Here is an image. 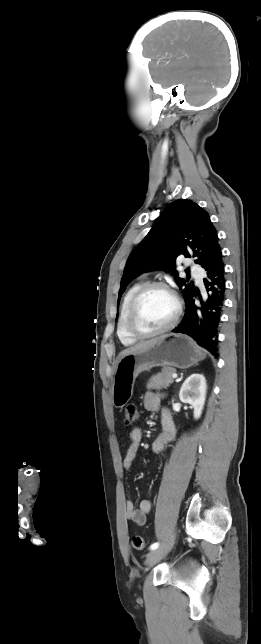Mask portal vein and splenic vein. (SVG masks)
I'll use <instances>...</instances> for the list:
<instances>
[{
	"label": "portal vein and splenic vein",
	"instance_id": "obj_1",
	"mask_svg": "<svg viewBox=\"0 0 261 644\" xmlns=\"http://www.w3.org/2000/svg\"><path fill=\"white\" fill-rule=\"evenodd\" d=\"M172 377H173L174 379H176V378H177V374H176V373H174V374L172 375Z\"/></svg>",
	"mask_w": 261,
	"mask_h": 644
}]
</instances>
